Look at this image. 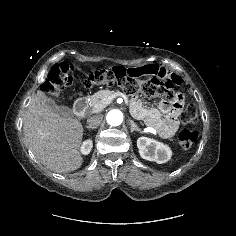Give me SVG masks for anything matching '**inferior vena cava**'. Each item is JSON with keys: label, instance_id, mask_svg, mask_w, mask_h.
Listing matches in <instances>:
<instances>
[{"label": "inferior vena cava", "instance_id": "602c4592", "mask_svg": "<svg viewBox=\"0 0 236 236\" xmlns=\"http://www.w3.org/2000/svg\"><path fill=\"white\" fill-rule=\"evenodd\" d=\"M103 120V115L102 114H97V115H94L90 118L87 119V124L89 126H93V127H97L101 124Z\"/></svg>", "mask_w": 236, "mask_h": 236}]
</instances>
